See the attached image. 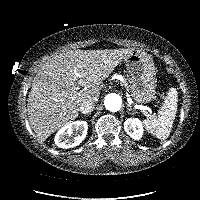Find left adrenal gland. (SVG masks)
<instances>
[{
	"label": "left adrenal gland",
	"mask_w": 200,
	"mask_h": 200,
	"mask_svg": "<svg viewBox=\"0 0 200 200\" xmlns=\"http://www.w3.org/2000/svg\"><path fill=\"white\" fill-rule=\"evenodd\" d=\"M133 111H135V110L132 108V106L130 104H127V112L131 113Z\"/></svg>",
	"instance_id": "a2214340"
}]
</instances>
